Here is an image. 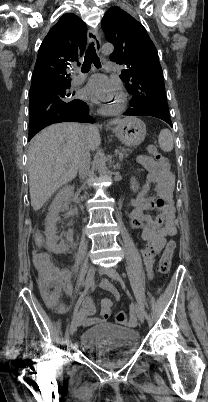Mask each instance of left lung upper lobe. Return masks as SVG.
<instances>
[{
	"label": "left lung upper lobe",
	"instance_id": "obj_1",
	"mask_svg": "<svg viewBox=\"0 0 208 402\" xmlns=\"http://www.w3.org/2000/svg\"><path fill=\"white\" fill-rule=\"evenodd\" d=\"M101 26L115 47L110 60L125 66L120 78L133 95L130 107L169 115L158 53L143 25L121 8L112 7Z\"/></svg>",
	"mask_w": 208,
	"mask_h": 402
}]
</instances>
